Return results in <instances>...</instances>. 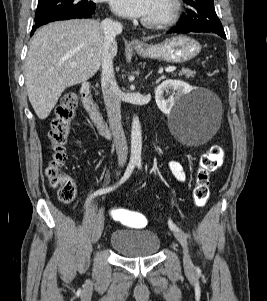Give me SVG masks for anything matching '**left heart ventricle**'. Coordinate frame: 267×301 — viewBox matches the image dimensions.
<instances>
[{
  "mask_svg": "<svg viewBox=\"0 0 267 301\" xmlns=\"http://www.w3.org/2000/svg\"><path fill=\"white\" fill-rule=\"evenodd\" d=\"M168 0H151L149 11L144 17L145 19H156L163 16L168 8Z\"/></svg>",
  "mask_w": 267,
  "mask_h": 301,
  "instance_id": "1",
  "label": "left heart ventricle"
}]
</instances>
